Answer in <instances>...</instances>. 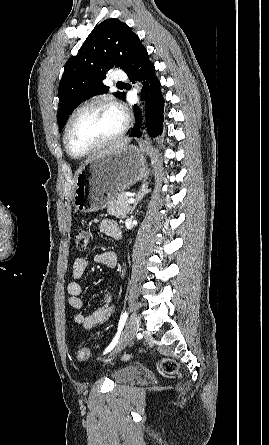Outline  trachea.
<instances>
[{"label": "trachea", "mask_w": 269, "mask_h": 445, "mask_svg": "<svg viewBox=\"0 0 269 445\" xmlns=\"http://www.w3.org/2000/svg\"><path fill=\"white\" fill-rule=\"evenodd\" d=\"M118 84H122V82H118Z\"/></svg>", "instance_id": "3493384b"}]
</instances>
